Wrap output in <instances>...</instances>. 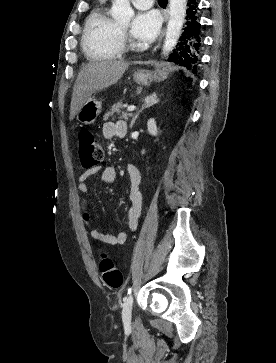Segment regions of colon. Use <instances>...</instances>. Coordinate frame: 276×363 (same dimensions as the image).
Instances as JSON below:
<instances>
[{"instance_id": "colon-1", "label": "colon", "mask_w": 276, "mask_h": 363, "mask_svg": "<svg viewBox=\"0 0 276 363\" xmlns=\"http://www.w3.org/2000/svg\"><path fill=\"white\" fill-rule=\"evenodd\" d=\"M78 138L79 156L82 164L87 168L100 165L104 158V150L96 135L91 131L83 130L79 133ZM99 270L108 287L117 289L122 286V273L105 254L101 256Z\"/></svg>"}]
</instances>
